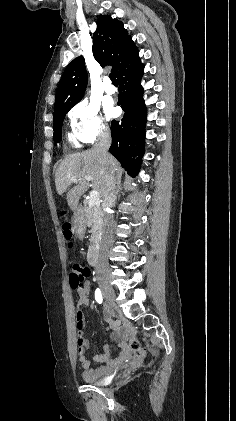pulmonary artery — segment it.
I'll list each match as a JSON object with an SVG mask.
<instances>
[{
	"instance_id": "1",
	"label": "pulmonary artery",
	"mask_w": 236,
	"mask_h": 421,
	"mask_svg": "<svg viewBox=\"0 0 236 421\" xmlns=\"http://www.w3.org/2000/svg\"><path fill=\"white\" fill-rule=\"evenodd\" d=\"M104 91L107 94H115L116 93V88H115L114 85H112L110 83H107V84L104 85Z\"/></svg>"
}]
</instances>
